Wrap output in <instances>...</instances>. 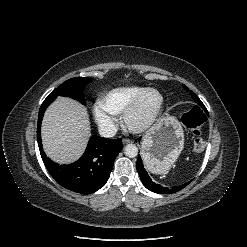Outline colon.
Instances as JSON below:
<instances>
[{
  "label": "colon",
  "mask_w": 247,
  "mask_h": 247,
  "mask_svg": "<svg viewBox=\"0 0 247 247\" xmlns=\"http://www.w3.org/2000/svg\"><path fill=\"white\" fill-rule=\"evenodd\" d=\"M182 122L194 133V150L198 153L203 152L206 148L202 130L205 122L204 113L198 108H193L182 115Z\"/></svg>",
  "instance_id": "obj_1"
}]
</instances>
